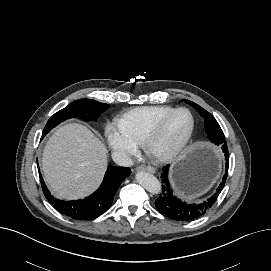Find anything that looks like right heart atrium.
<instances>
[{
  "mask_svg": "<svg viewBox=\"0 0 271 271\" xmlns=\"http://www.w3.org/2000/svg\"><path fill=\"white\" fill-rule=\"evenodd\" d=\"M106 141L109 147L124 157L135 155L137 145L132 142L119 127L109 125L105 130Z\"/></svg>",
  "mask_w": 271,
  "mask_h": 271,
  "instance_id": "d8ad5b80",
  "label": "right heart atrium"
}]
</instances>
